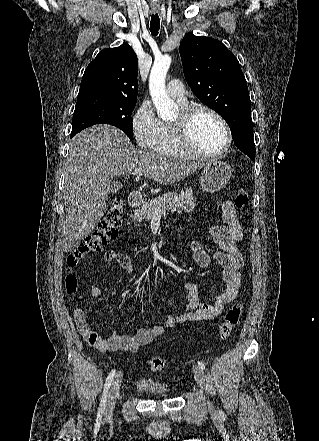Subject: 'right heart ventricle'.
<instances>
[{"mask_svg":"<svg viewBox=\"0 0 319 441\" xmlns=\"http://www.w3.org/2000/svg\"><path fill=\"white\" fill-rule=\"evenodd\" d=\"M183 107L186 104L182 103ZM156 153L165 156H175V157H186L188 156L184 153L177 145L171 123L162 122V133L161 138L154 150Z\"/></svg>","mask_w":319,"mask_h":441,"instance_id":"obj_1","label":"right heart ventricle"}]
</instances>
